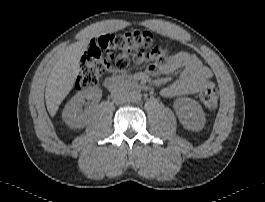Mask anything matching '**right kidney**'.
<instances>
[{
    "mask_svg": "<svg viewBox=\"0 0 265 202\" xmlns=\"http://www.w3.org/2000/svg\"><path fill=\"white\" fill-rule=\"evenodd\" d=\"M102 97V90L96 87H90L78 92L65 105L62 118L65 123L73 129L83 128L88 120V114L82 111L85 100H92V103H98Z\"/></svg>",
    "mask_w": 265,
    "mask_h": 202,
    "instance_id": "right-kidney-1",
    "label": "right kidney"
}]
</instances>
